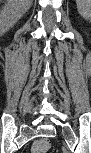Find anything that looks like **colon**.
<instances>
[{
  "mask_svg": "<svg viewBox=\"0 0 91 153\" xmlns=\"http://www.w3.org/2000/svg\"><path fill=\"white\" fill-rule=\"evenodd\" d=\"M50 141L46 138L38 139L34 142L32 153H47L50 149Z\"/></svg>",
  "mask_w": 91,
  "mask_h": 153,
  "instance_id": "1",
  "label": "colon"
}]
</instances>
